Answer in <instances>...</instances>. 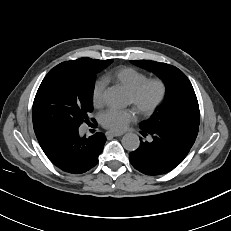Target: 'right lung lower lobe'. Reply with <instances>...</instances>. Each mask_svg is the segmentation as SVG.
<instances>
[{
	"label": "right lung lower lobe",
	"mask_w": 231,
	"mask_h": 231,
	"mask_svg": "<svg viewBox=\"0 0 231 231\" xmlns=\"http://www.w3.org/2000/svg\"><path fill=\"white\" fill-rule=\"evenodd\" d=\"M35 134L50 161L73 174H81L94 167L106 141L102 133L81 138L78 129L63 127H46Z\"/></svg>",
	"instance_id": "98d812e1"
}]
</instances>
